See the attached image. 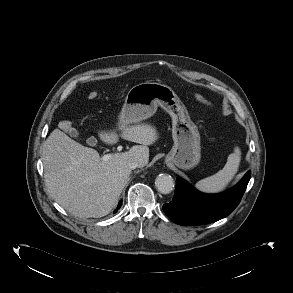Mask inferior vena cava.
<instances>
[{
  "label": "inferior vena cava",
  "instance_id": "1",
  "mask_svg": "<svg viewBox=\"0 0 293 293\" xmlns=\"http://www.w3.org/2000/svg\"><path fill=\"white\" fill-rule=\"evenodd\" d=\"M128 167H129V169H135L137 167H143V164L141 162H137V161H130V162H128Z\"/></svg>",
  "mask_w": 293,
  "mask_h": 293
}]
</instances>
